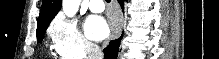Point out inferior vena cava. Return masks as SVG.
Returning <instances> with one entry per match:
<instances>
[{
  "label": "inferior vena cava",
  "instance_id": "inferior-vena-cava-1",
  "mask_svg": "<svg viewBox=\"0 0 219 59\" xmlns=\"http://www.w3.org/2000/svg\"><path fill=\"white\" fill-rule=\"evenodd\" d=\"M87 59H103V52L99 46L93 43L86 44Z\"/></svg>",
  "mask_w": 219,
  "mask_h": 59
}]
</instances>
